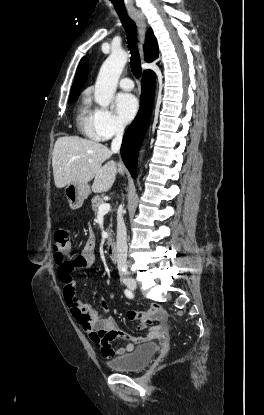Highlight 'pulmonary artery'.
<instances>
[{
  "label": "pulmonary artery",
  "mask_w": 264,
  "mask_h": 415,
  "mask_svg": "<svg viewBox=\"0 0 264 415\" xmlns=\"http://www.w3.org/2000/svg\"><path fill=\"white\" fill-rule=\"evenodd\" d=\"M118 85L121 89H123L125 91H130L134 87L133 81L130 78H122L118 82Z\"/></svg>",
  "instance_id": "obj_1"
}]
</instances>
